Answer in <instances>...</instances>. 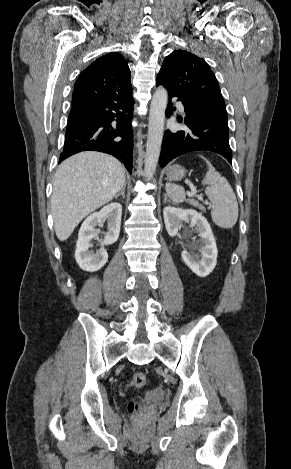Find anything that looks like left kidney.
<instances>
[{
	"mask_svg": "<svg viewBox=\"0 0 291 469\" xmlns=\"http://www.w3.org/2000/svg\"><path fill=\"white\" fill-rule=\"evenodd\" d=\"M165 227L168 234L172 237L176 236L182 227V221L190 222L194 226L200 237L190 251L184 249L181 253L185 264L199 277L208 276L217 263V246L211 230V227L200 213L193 209H182L167 206L163 210ZM194 250H199L201 260L197 255H193Z\"/></svg>",
	"mask_w": 291,
	"mask_h": 469,
	"instance_id": "1",
	"label": "left kidney"
}]
</instances>
